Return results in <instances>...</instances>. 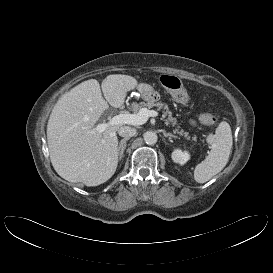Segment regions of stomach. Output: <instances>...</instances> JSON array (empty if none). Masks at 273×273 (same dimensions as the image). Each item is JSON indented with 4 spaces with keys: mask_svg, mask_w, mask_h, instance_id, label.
<instances>
[{
    "mask_svg": "<svg viewBox=\"0 0 273 273\" xmlns=\"http://www.w3.org/2000/svg\"><path fill=\"white\" fill-rule=\"evenodd\" d=\"M139 93H135V98H141L145 101H155L156 98V92L153 90V88L147 84H141L137 88Z\"/></svg>",
    "mask_w": 273,
    "mask_h": 273,
    "instance_id": "stomach-1",
    "label": "stomach"
}]
</instances>
